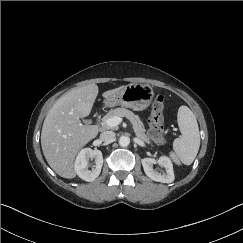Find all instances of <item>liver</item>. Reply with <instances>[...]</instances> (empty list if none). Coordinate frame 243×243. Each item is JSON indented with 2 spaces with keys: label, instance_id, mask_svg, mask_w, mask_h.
<instances>
[{
  "label": "liver",
  "instance_id": "liver-1",
  "mask_svg": "<svg viewBox=\"0 0 243 243\" xmlns=\"http://www.w3.org/2000/svg\"><path fill=\"white\" fill-rule=\"evenodd\" d=\"M125 86L103 93L110 98ZM99 89L96 84L73 88L63 94L48 111L41 132V146L49 166L61 177L76 176L75 157L79 150L94 139L97 125L82 124L92 110Z\"/></svg>",
  "mask_w": 243,
  "mask_h": 243
}]
</instances>
